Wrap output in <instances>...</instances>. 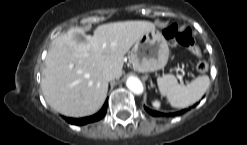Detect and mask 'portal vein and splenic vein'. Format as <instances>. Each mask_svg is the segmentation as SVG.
Returning <instances> with one entry per match:
<instances>
[{
	"label": "portal vein and splenic vein",
	"mask_w": 247,
	"mask_h": 145,
	"mask_svg": "<svg viewBox=\"0 0 247 145\" xmlns=\"http://www.w3.org/2000/svg\"><path fill=\"white\" fill-rule=\"evenodd\" d=\"M177 78L182 81L183 77L180 74H177Z\"/></svg>",
	"instance_id": "18ae733b"
}]
</instances>
